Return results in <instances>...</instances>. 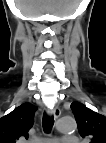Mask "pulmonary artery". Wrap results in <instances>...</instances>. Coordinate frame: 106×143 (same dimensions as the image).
<instances>
[{"instance_id": "pulmonary-artery-1", "label": "pulmonary artery", "mask_w": 106, "mask_h": 143, "mask_svg": "<svg viewBox=\"0 0 106 143\" xmlns=\"http://www.w3.org/2000/svg\"><path fill=\"white\" fill-rule=\"evenodd\" d=\"M65 140H68V141H75L76 138L72 137V136H69V137H65L64 138ZM52 142H57V139H52Z\"/></svg>"}]
</instances>
